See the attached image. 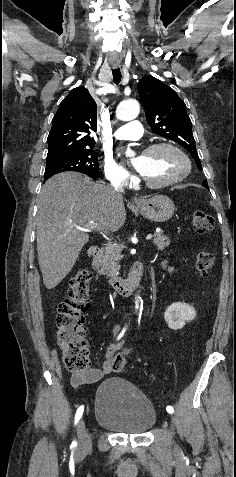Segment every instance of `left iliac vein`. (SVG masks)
Segmentation results:
<instances>
[{
  "label": "left iliac vein",
  "instance_id": "obj_1",
  "mask_svg": "<svg viewBox=\"0 0 236 477\" xmlns=\"http://www.w3.org/2000/svg\"><path fill=\"white\" fill-rule=\"evenodd\" d=\"M168 417H169V421L171 422L172 425H175L176 424V421H177V418L175 417V414L173 412H168Z\"/></svg>",
  "mask_w": 236,
  "mask_h": 477
}]
</instances>
